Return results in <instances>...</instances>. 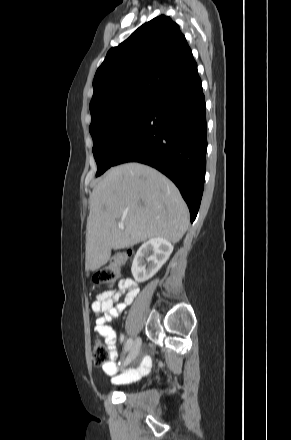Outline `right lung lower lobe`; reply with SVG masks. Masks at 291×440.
Segmentation results:
<instances>
[{
	"label": "right lung lower lobe",
	"instance_id": "98d812e1",
	"mask_svg": "<svg viewBox=\"0 0 291 440\" xmlns=\"http://www.w3.org/2000/svg\"><path fill=\"white\" fill-rule=\"evenodd\" d=\"M206 104L197 68L154 96L151 110L115 157L150 165L179 188L191 222L196 218L206 170Z\"/></svg>",
	"mask_w": 291,
	"mask_h": 440
}]
</instances>
